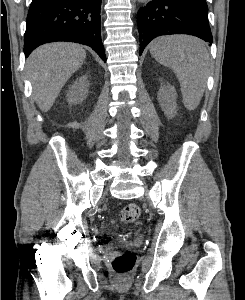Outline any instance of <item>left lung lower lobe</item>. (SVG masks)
Here are the masks:
<instances>
[{
  "mask_svg": "<svg viewBox=\"0 0 245 300\" xmlns=\"http://www.w3.org/2000/svg\"><path fill=\"white\" fill-rule=\"evenodd\" d=\"M140 55L155 37L189 34L212 43L205 0H152L137 13Z\"/></svg>",
  "mask_w": 245,
  "mask_h": 300,
  "instance_id": "1",
  "label": "left lung lower lobe"
}]
</instances>
